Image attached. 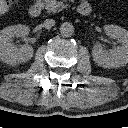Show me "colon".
<instances>
[{
	"instance_id": "5ec220e1",
	"label": "colon",
	"mask_w": 128,
	"mask_h": 128,
	"mask_svg": "<svg viewBox=\"0 0 128 128\" xmlns=\"http://www.w3.org/2000/svg\"><path fill=\"white\" fill-rule=\"evenodd\" d=\"M20 2V0H7V3L9 4V5H16V4H18Z\"/></svg>"
}]
</instances>
